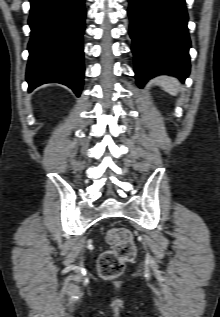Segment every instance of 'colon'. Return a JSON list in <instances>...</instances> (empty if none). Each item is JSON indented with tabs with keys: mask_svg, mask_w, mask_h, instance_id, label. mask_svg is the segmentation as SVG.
I'll list each match as a JSON object with an SVG mask.
<instances>
[{
	"mask_svg": "<svg viewBox=\"0 0 220 317\" xmlns=\"http://www.w3.org/2000/svg\"><path fill=\"white\" fill-rule=\"evenodd\" d=\"M107 241L112 249L103 252L98 261L100 275L106 279L118 277L125 264L136 255V245L130 230L124 227H113L107 233Z\"/></svg>",
	"mask_w": 220,
	"mask_h": 317,
	"instance_id": "1",
	"label": "colon"
}]
</instances>
